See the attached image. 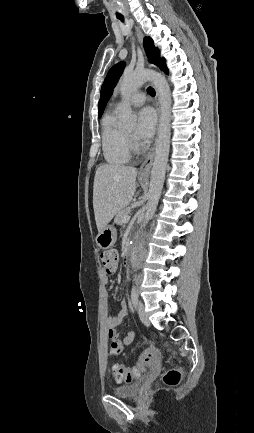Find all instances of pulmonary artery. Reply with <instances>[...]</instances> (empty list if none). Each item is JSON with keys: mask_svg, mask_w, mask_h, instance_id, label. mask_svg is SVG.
<instances>
[{"mask_svg": "<svg viewBox=\"0 0 254 433\" xmlns=\"http://www.w3.org/2000/svg\"><path fill=\"white\" fill-rule=\"evenodd\" d=\"M145 100H146V95L144 92H141V91L134 92L128 98V102L132 105H135V106L142 105L145 102Z\"/></svg>", "mask_w": 254, "mask_h": 433, "instance_id": "e3ab8cb5", "label": "pulmonary artery"}]
</instances>
